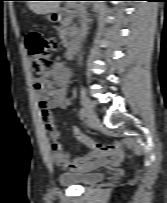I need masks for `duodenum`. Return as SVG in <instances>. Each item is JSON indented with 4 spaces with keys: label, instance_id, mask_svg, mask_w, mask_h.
Here are the masks:
<instances>
[{
    "label": "duodenum",
    "instance_id": "obj_1",
    "mask_svg": "<svg viewBox=\"0 0 167 203\" xmlns=\"http://www.w3.org/2000/svg\"><path fill=\"white\" fill-rule=\"evenodd\" d=\"M68 18H70V17L67 15V12L59 10V9L55 10L52 14V20L54 22H60L62 20L68 19ZM76 51H77L76 43L74 41L68 42L67 47H66V58L68 60H72L76 54Z\"/></svg>",
    "mask_w": 167,
    "mask_h": 203
}]
</instances>
